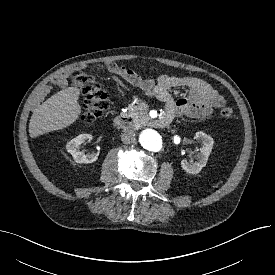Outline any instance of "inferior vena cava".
Listing matches in <instances>:
<instances>
[{
  "label": "inferior vena cava",
  "mask_w": 275,
  "mask_h": 275,
  "mask_svg": "<svg viewBox=\"0 0 275 275\" xmlns=\"http://www.w3.org/2000/svg\"><path fill=\"white\" fill-rule=\"evenodd\" d=\"M121 140L125 144L134 143L136 140V134H135L134 130L129 129V128L125 129L123 131V133L121 134Z\"/></svg>",
  "instance_id": "1"
}]
</instances>
